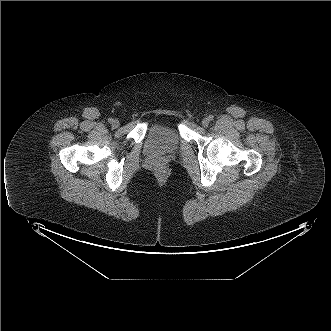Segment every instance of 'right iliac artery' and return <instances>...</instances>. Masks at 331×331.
<instances>
[{
    "label": "right iliac artery",
    "instance_id": "obj_1",
    "mask_svg": "<svg viewBox=\"0 0 331 331\" xmlns=\"http://www.w3.org/2000/svg\"><path fill=\"white\" fill-rule=\"evenodd\" d=\"M108 122H109V123H112V122H113V119H112V118H109V119H108Z\"/></svg>",
    "mask_w": 331,
    "mask_h": 331
}]
</instances>
